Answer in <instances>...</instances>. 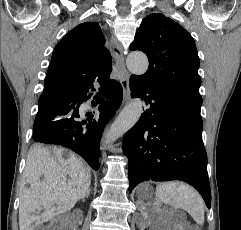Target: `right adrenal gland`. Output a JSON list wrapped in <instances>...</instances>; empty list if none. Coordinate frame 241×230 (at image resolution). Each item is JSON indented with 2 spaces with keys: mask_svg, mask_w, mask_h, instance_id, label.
<instances>
[{
  "mask_svg": "<svg viewBox=\"0 0 241 230\" xmlns=\"http://www.w3.org/2000/svg\"><path fill=\"white\" fill-rule=\"evenodd\" d=\"M90 191H91V189L89 188L88 189V191H87V193H86V195L85 196H83V201H84V198L86 197V198H88L89 197V195H90Z\"/></svg>",
  "mask_w": 241,
  "mask_h": 230,
  "instance_id": "right-adrenal-gland-1",
  "label": "right adrenal gland"
}]
</instances>
